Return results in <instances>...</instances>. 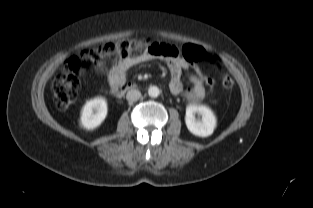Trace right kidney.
<instances>
[{"label": "right kidney", "mask_w": 313, "mask_h": 208, "mask_svg": "<svg viewBox=\"0 0 313 208\" xmlns=\"http://www.w3.org/2000/svg\"><path fill=\"white\" fill-rule=\"evenodd\" d=\"M107 113V101L104 98H94L82 107L79 124L83 129L94 130L103 123Z\"/></svg>", "instance_id": "1"}]
</instances>
